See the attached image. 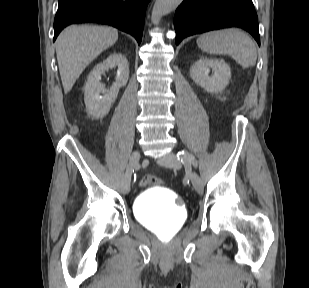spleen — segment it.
Instances as JSON below:
<instances>
[{
	"label": "spleen",
	"mask_w": 309,
	"mask_h": 288,
	"mask_svg": "<svg viewBox=\"0 0 309 288\" xmlns=\"http://www.w3.org/2000/svg\"><path fill=\"white\" fill-rule=\"evenodd\" d=\"M197 45L209 54H228L243 68L256 64L257 50L253 40L236 28L204 33L197 39Z\"/></svg>",
	"instance_id": "obj_1"
}]
</instances>
